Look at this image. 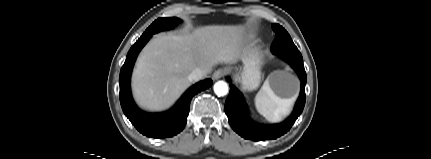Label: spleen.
Returning a JSON list of instances; mask_svg holds the SVG:
<instances>
[{"instance_id":"spleen-1","label":"spleen","mask_w":431,"mask_h":159,"mask_svg":"<svg viewBox=\"0 0 431 159\" xmlns=\"http://www.w3.org/2000/svg\"><path fill=\"white\" fill-rule=\"evenodd\" d=\"M295 100L296 96L291 98L277 96L266 80L255 96V106L267 120L279 122L290 113Z\"/></svg>"}]
</instances>
